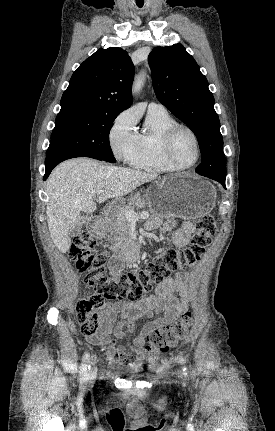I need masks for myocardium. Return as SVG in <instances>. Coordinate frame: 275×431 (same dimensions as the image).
Segmentation results:
<instances>
[{
    "label": "myocardium",
    "instance_id": "f54148a6",
    "mask_svg": "<svg viewBox=\"0 0 275 431\" xmlns=\"http://www.w3.org/2000/svg\"><path fill=\"white\" fill-rule=\"evenodd\" d=\"M182 131L187 132L192 137V139L194 140V143H195V148H196L195 160L191 164H188V165H182V164L178 163L173 156L174 141H175L177 135ZM162 150H163V155H164L165 160L177 170H186V169H190V168L194 167L198 163L200 156H201L200 140H199L197 134L195 133V131L192 128H190L187 125H183V124H176L166 132L164 139H163Z\"/></svg>",
    "mask_w": 275,
    "mask_h": 431
}]
</instances>
